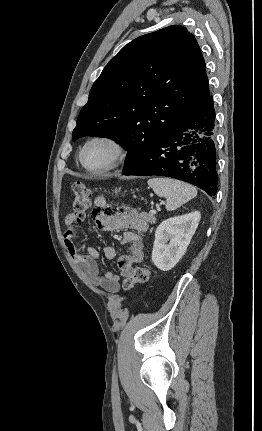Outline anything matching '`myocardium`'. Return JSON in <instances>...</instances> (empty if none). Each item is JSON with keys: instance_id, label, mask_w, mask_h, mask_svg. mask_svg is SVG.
<instances>
[{"instance_id": "obj_1", "label": "myocardium", "mask_w": 262, "mask_h": 431, "mask_svg": "<svg viewBox=\"0 0 262 431\" xmlns=\"http://www.w3.org/2000/svg\"><path fill=\"white\" fill-rule=\"evenodd\" d=\"M99 142L107 143L108 145H110L113 150V156L108 165L99 169H91L87 167L84 163V154L92 144L99 143ZM126 155H127V147L122 140H120L118 137L114 135L101 134V135L93 136L85 142V144L83 145L79 153V162L81 166L88 173L92 175H101L117 169L123 163Z\"/></svg>"}]
</instances>
